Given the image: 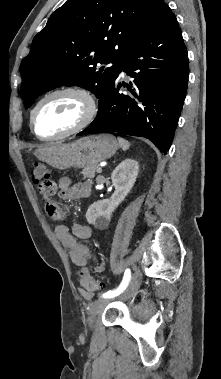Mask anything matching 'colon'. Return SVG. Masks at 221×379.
Listing matches in <instances>:
<instances>
[{
	"label": "colon",
	"mask_w": 221,
	"mask_h": 379,
	"mask_svg": "<svg viewBox=\"0 0 221 379\" xmlns=\"http://www.w3.org/2000/svg\"><path fill=\"white\" fill-rule=\"evenodd\" d=\"M50 177V170L45 164L41 162H36L33 164L31 178L32 181L39 187L41 194H47L50 191L52 187ZM79 277L80 283L86 291L93 292L102 289L101 283L90 275L87 268H84L79 272Z\"/></svg>",
	"instance_id": "colon-1"
}]
</instances>
